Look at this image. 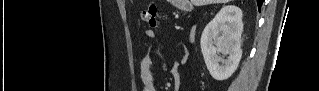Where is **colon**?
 <instances>
[{
    "label": "colon",
    "mask_w": 319,
    "mask_h": 91,
    "mask_svg": "<svg viewBox=\"0 0 319 91\" xmlns=\"http://www.w3.org/2000/svg\"><path fill=\"white\" fill-rule=\"evenodd\" d=\"M157 7L155 4L148 5L141 13V19L152 28H156L158 23L156 20Z\"/></svg>",
    "instance_id": "1"
}]
</instances>
